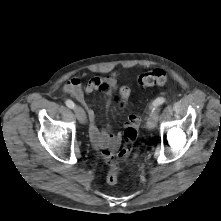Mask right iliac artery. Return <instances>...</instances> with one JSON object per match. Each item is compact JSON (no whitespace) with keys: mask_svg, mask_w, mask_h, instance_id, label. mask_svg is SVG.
<instances>
[{"mask_svg":"<svg viewBox=\"0 0 221 221\" xmlns=\"http://www.w3.org/2000/svg\"><path fill=\"white\" fill-rule=\"evenodd\" d=\"M65 104H66L69 108H71V109H73V108L75 107L74 102H73L72 100H69V99L66 100Z\"/></svg>","mask_w":221,"mask_h":221,"instance_id":"right-iliac-artery-1","label":"right iliac artery"}]
</instances>
